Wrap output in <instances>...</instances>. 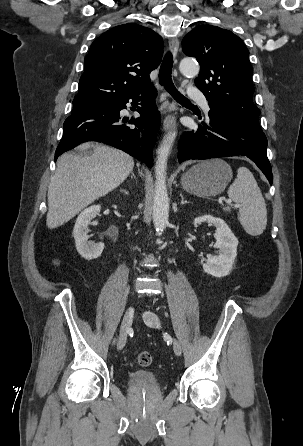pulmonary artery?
<instances>
[{
  "instance_id": "obj_1",
  "label": "pulmonary artery",
  "mask_w": 303,
  "mask_h": 446,
  "mask_svg": "<svg viewBox=\"0 0 303 446\" xmlns=\"http://www.w3.org/2000/svg\"><path fill=\"white\" fill-rule=\"evenodd\" d=\"M188 95L191 99L198 101L199 103H201V105L203 106V109L205 110L206 113L209 112L210 107L208 105V102L204 96V94L198 90L197 88H190L188 91Z\"/></svg>"
}]
</instances>
